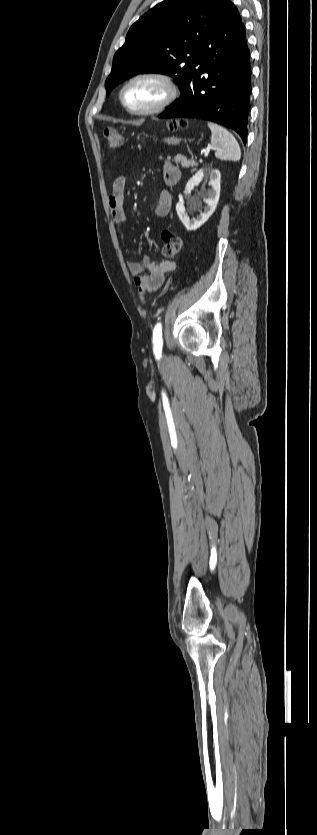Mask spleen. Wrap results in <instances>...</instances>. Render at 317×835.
Segmentation results:
<instances>
[{
  "instance_id": "obj_1",
  "label": "spleen",
  "mask_w": 317,
  "mask_h": 835,
  "mask_svg": "<svg viewBox=\"0 0 317 835\" xmlns=\"http://www.w3.org/2000/svg\"><path fill=\"white\" fill-rule=\"evenodd\" d=\"M211 130V144L215 148V156L221 160L239 161L241 150L234 136L224 127L208 122Z\"/></svg>"
}]
</instances>
